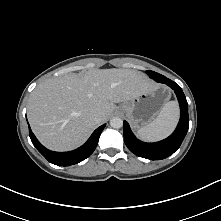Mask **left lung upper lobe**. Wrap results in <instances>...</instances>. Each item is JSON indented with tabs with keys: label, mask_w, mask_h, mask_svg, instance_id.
I'll return each mask as SVG.
<instances>
[{
	"label": "left lung upper lobe",
	"mask_w": 221,
	"mask_h": 221,
	"mask_svg": "<svg viewBox=\"0 0 221 221\" xmlns=\"http://www.w3.org/2000/svg\"><path fill=\"white\" fill-rule=\"evenodd\" d=\"M146 73L157 82H161L162 79L166 78L165 76L153 71H146Z\"/></svg>",
	"instance_id": "5c2ea615"
}]
</instances>
